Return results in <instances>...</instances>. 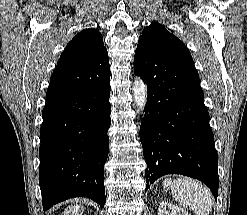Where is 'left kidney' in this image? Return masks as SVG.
Wrapping results in <instances>:
<instances>
[{
  "label": "left kidney",
  "instance_id": "1",
  "mask_svg": "<svg viewBox=\"0 0 247 215\" xmlns=\"http://www.w3.org/2000/svg\"><path fill=\"white\" fill-rule=\"evenodd\" d=\"M158 215H190L188 212L170 202H161L158 208Z\"/></svg>",
  "mask_w": 247,
  "mask_h": 215
}]
</instances>
